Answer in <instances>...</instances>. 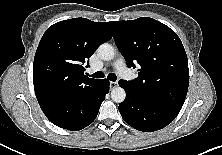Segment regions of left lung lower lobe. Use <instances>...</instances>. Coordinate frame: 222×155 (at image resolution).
I'll list each match as a JSON object with an SVG mask.
<instances>
[{
    "mask_svg": "<svg viewBox=\"0 0 222 155\" xmlns=\"http://www.w3.org/2000/svg\"><path fill=\"white\" fill-rule=\"evenodd\" d=\"M119 85L126 92V99L119 104L122 118L133 128L153 132L171 123L181 109L159 103L132 92L124 84Z\"/></svg>",
    "mask_w": 222,
    "mask_h": 155,
    "instance_id": "1",
    "label": "left lung lower lobe"
}]
</instances>
